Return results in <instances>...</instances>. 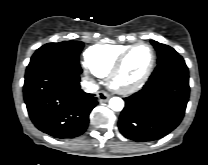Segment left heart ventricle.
I'll return each instance as SVG.
<instances>
[{
  "mask_svg": "<svg viewBox=\"0 0 208 165\" xmlns=\"http://www.w3.org/2000/svg\"><path fill=\"white\" fill-rule=\"evenodd\" d=\"M151 60V51L145 46L138 47L127 59L119 75L122 83H131L137 80L146 70Z\"/></svg>",
  "mask_w": 208,
  "mask_h": 165,
  "instance_id": "b2bd125f",
  "label": "left heart ventricle"
}]
</instances>
